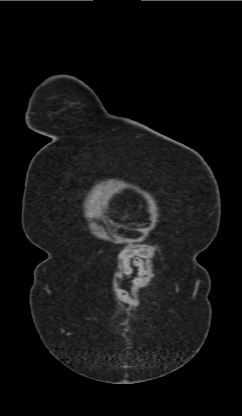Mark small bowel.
<instances>
[{
    "label": "small bowel",
    "instance_id": "c3829d8e",
    "mask_svg": "<svg viewBox=\"0 0 242 416\" xmlns=\"http://www.w3.org/2000/svg\"><path fill=\"white\" fill-rule=\"evenodd\" d=\"M147 256L148 253L141 248L129 249L121 255L123 273L133 276L132 284L135 287H141L149 280V272L144 266V259ZM122 296L127 298L126 294Z\"/></svg>",
    "mask_w": 242,
    "mask_h": 416
}]
</instances>
